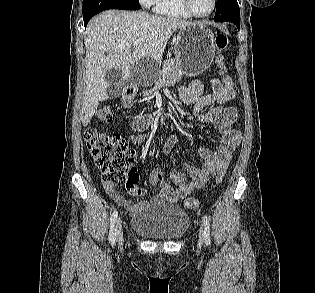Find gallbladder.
Returning <instances> with one entry per match:
<instances>
[{
	"instance_id": "1",
	"label": "gallbladder",
	"mask_w": 315,
	"mask_h": 293,
	"mask_svg": "<svg viewBox=\"0 0 315 293\" xmlns=\"http://www.w3.org/2000/svg\"><path fill=\"white\" fill-rule=\"evenodd\" d=\"M106 82L108 84L107 93L109 98H116L120 95L123 84V72L118 69H110L106 73Z\"/></svg>"
}]
</instances>
